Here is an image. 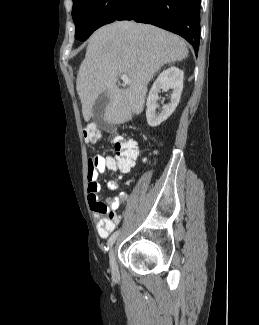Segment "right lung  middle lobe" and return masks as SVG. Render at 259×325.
Here are the masks:
<instances>
[{
  "instance_id": "obj_1",
  "label": "right lung middle lobe",
  "mask_w": 259,
  "mask_h": 325,
  "mask_svg": "<svg viewBox=\"0 0 259 325\" xmlns=\"http://www.w3.org/2000/svg\"><path fill=\"white\" fill-rule=\"evenodd\" d=\"M126 0H73L75 38L85 41L96 29L115 20Z\"/></svg>"
}]
</instances>
